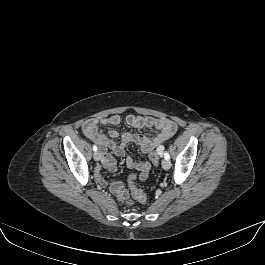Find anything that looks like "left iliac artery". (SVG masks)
<instances>
[{
	"label": "left iliac artery",
	"mask_w": 265,
	"mask_h": 265,
	"mask_svg": "<svg viewBox=\"0 0 265 265\" xmlns=\"http://www.w3.org/2000/svg\"><path fill=\"white\" fill-rule=\"evenodd\" d=\"M164 158H165L166 160H169V159H170V155H169L167 152H165V153H164Z\"/></svg>",
	"instance_id": "44dca946"
}]
</instances>
